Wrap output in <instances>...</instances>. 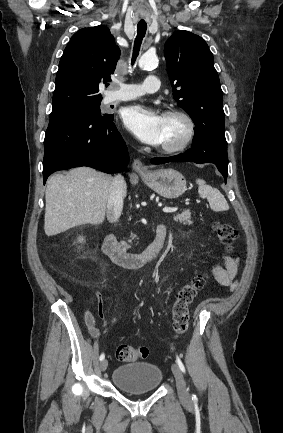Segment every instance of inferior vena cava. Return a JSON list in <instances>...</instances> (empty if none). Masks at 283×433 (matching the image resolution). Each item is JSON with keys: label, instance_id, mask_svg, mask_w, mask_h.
Masks as SVG:
<instances>
[{"label": "inferior vena cava", "instance_id": "inferior-vena-cava-1", "mask_svg": "<svg viewBox=\"0 0 283 433\" xmlns=\"http://www.w3.org/2000/svg\"><path fill=\"white\" fill-rule=\"evenodd\" d=\"M125 180L122 174H116L112 180L110 194L107 200V217L111 223L121 217L123 208V188Z\"/></svg>", "mask_w": 283, "mask_h": 433}]
</instances>
